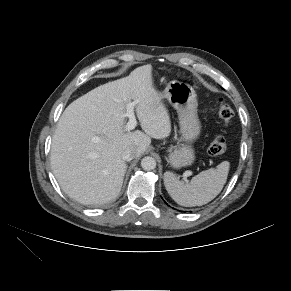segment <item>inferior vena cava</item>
I'll return each instance as SVG.
<instances>
[{"mask_svg":"<svg viewBox=\"0 0 291 291\" xmlns=\"http://www.w3.org/2000/svg\"><path fill=\"white\" fill-rule=\"evenodd\" d=\"M135 158V152L132 149H127L122 153V159L125 161H131Z\"/></svg>","mask_w":291,"mask_h":291,"instance_id":"602c4592","label":"inferior vena cava"}]
</instances>
